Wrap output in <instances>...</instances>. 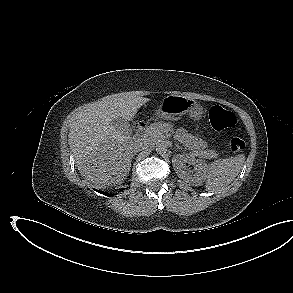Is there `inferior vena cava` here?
<instances>
[{"label": "inferior vena cava", "instance_id": "602c4592", "mask_svg": "<svg viewBox=\"0 0 293 293\" xmlns=\"http://www.w3.org/2000/svg\"><path fill=\"white\" fill-rule=\"evenodd\" d=\"M148 142L146 140H136L133 145L134 153L144 150L148 147Z\"/></svg>", "mask_w": 293, "mask_h": 293}]
</instances>
